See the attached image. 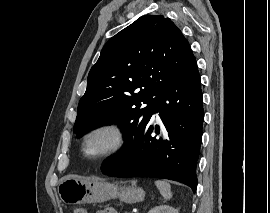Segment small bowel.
<instances>
[{
	"label": "small bowel",
	"mask_w": 270,
	"mask_h": 213,
	"mask_svg": "<svg viewBox=\"0 0 270 213\" xmlns=\"http://www.w3.org/2000/svg\"><path fill=\"white\" fill-rule=\"evenodd\" d=\"M96 213H118L116 209L108 207L102 210L97 211Z\"/></svg>",
	"instance_id": "small-bowel-1"
}]
</instances>
